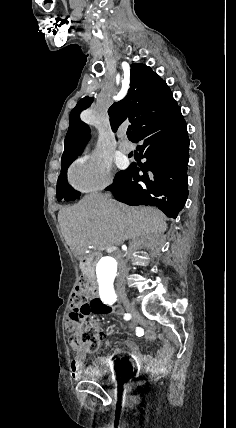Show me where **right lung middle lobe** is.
Wrapping results in <instances>:
<instances>
[{
	"label": "right lung middle lobe",
	"instance_id": "right-lung-middle-lobe-1",
	"mask_svg": "<svg viewBox=\"0 0 236 428\" xmlns=\"http://www.w3.org/2000/svg\"><path fill=\"white\" fill-rule=\"evenodd\" d=\"M68 168L61 170L62 174L59 176L57 181V191L56 196L58 201L65 199L66 201H72L79 199L80 192L74 190L67 182L66 171Z\"/></svg>",
	"mask_w": 236,
	"mask_h": 428
}]
</instances>
